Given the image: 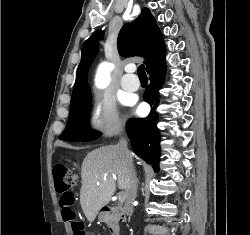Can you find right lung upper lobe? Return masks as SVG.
<instances>
[{"instance_id":"right-lung-upper-lobe-1","label":"right lung upper lobe","mask_w":250,"mask_h":235,"mask_svg":"<svg viewBox=\"0 0 250 235\" xmlns=\"http://www.w3.org/2000/svg\"><path fill=\"white\" fill-rule=\"evenodd\" d=\"M102 37L103 32L97 31L83 44L82 58L77 69L71 100L89 91L87 72L98 52V39ZM117 47L122 56L145 57L146 67L165 48L162 34L148 8H143L135 21L122 27L118 35Z\"/></svg>"}]
</instances>
